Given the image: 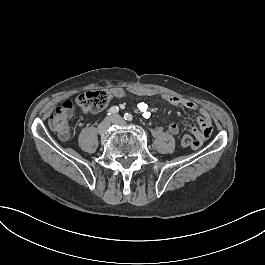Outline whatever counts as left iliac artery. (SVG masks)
<instances>
[{"label":"left iliac artery","instance_id":"1","mask_svg":"<svg viewBox=\"0 0 265 265\" xmlns=\"http://www.w3.org/2000/svg\"><path fill=\"white\" fill-rule=\"evenodd\" d=\"M124 119L127 120V121H132L133 120V116L130 113H125Z\"/></svg>","mask_w":265,"mask_h":265}]
</instances>
